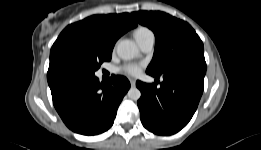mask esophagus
Here are the masks:
<instances>
[{"instance_id": "34e87169", "label": "esophagus", "mask_w": 261, "mask_h": 150, "mask_svg": "<svg viewBox=\"0 0 261 150\" xmlns=\"http://www.w3.org/2000/svg\"><path fill=\"white\" fill-rule=\"evenodd\" d=\"M129 81H130L131 86H132V87H135V85H136V80L133 79V78H130Z\"/></svg>"}]
</instances>
